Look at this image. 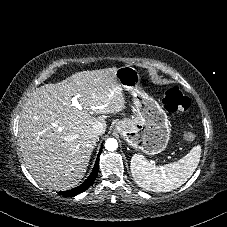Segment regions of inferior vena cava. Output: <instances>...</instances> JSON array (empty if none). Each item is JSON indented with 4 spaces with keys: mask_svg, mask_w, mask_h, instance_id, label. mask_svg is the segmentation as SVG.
<instances>
[{
    "mask_svg": "<svg viewBox=\"0 0 227 227\" xmlns=\"http://www.w3.org/2000/svg\"><path fill=\"white\" fill-rule=\"evenodd\" d=\"M92 131L97 135L103 134L105 132V125L101 122H97L93 125Z\"/></svg>",
    "mask_w": 227,
    "mask_h": 227,
    "instance_id": "1",
    "label": "inferior vena cava"
}]
</instances>
